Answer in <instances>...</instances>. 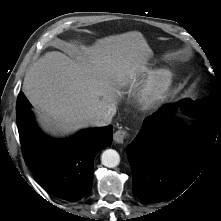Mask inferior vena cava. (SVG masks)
Segmentation results:
<instances>
[{
	"instance_id": "inferior-vena-cava-1",
	"label": "inferior vena cava",
	"mask_w": 221,
	"mask_h": 221,
	"mask_svg": "<svg viewBox=\"0 0 221 221\" xmlns=\"http://www.w3.org/2000/svg\"><path fill=\"white\" fill-rule=\"evenodd\" d=\"M116 114V106L111 104L98 110L89 118V123L92 126L103 127L111 123L112 117Z\"/></svg>"
}]
</instances>
